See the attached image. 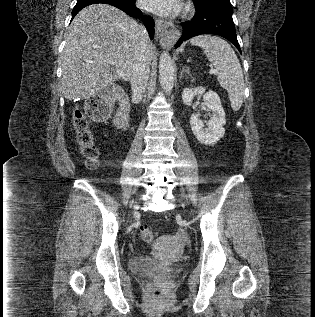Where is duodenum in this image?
<instances>
[{"instance_id": "1", "label": "duodenum", "mask_w": 315, "mask_h": 317, "mask_svg": "<svg viewBox=\"0 0 315 317\" xmlns=\"http://www.w3.org/2000/svg\"><path fill=\"white\" fill-rule=\"evenodd\" d=\"M129 106L127 102L121 106L115 117V124L118 128L126 130L129 127Z\"/></svg>"}]
</instances>
